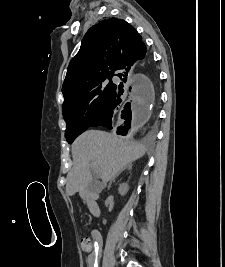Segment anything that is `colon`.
<instances>
[{"label": "colon", "mask_w": 225, "mask_h": 267, "mask_svg": "<svg viewBox=\"0 0 225 267\" xmlns=\"http://www.w3.org/2000/svg\"><path fill=\"white\" fill-rule=\"evenodd\" d=\"M81 247L84 251L89 252L93 249L92 241L85 237L81 239Z\"/></svg>", "instance_id": "5ec220e1"}]
</instances>
